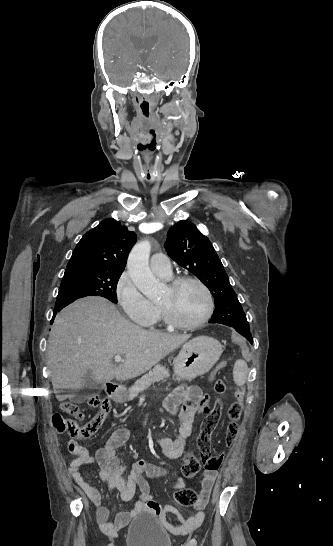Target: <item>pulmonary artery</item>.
Here are the masks:
<instances>
[{
	"mask_svg": "<svg viewBox=\"0 0 333 546\" xmlns=\"http://www.w3.org/2000/svg\"><path fill=\"white\" fill-rule=\"evenodd\" d=\"M150 267L158 276L166 279H169L172 276L171 262L166 254H154L150 259Z\"/></svg>",
	"mask_w": 333,
	"mask_h": 546,
	"instance_id": "e3ab8cb5",
	"label": "pulmonary artery"
}]
</instances>
